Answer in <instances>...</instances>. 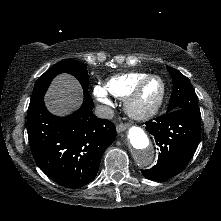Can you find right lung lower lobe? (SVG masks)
Returning a JSON list of instances; mask_svg holds the SVG:
<instances>
[{"instance_id":"98d812e1","label":"right lung lower lobe","mask_w":221,"mask_h":221,"mask_svg":"<svg viewBox=\"0 0 221 221\" xmlns=\"http://www.w3.org/2000/svg\"><path fill=\"white\" fill-rule=\"evenodd\" d=\"M93 101L84 91L82 106L73 114L58 117L43 99L28 111L29 144L38 167L56 183L78 188L97 175L102 155L115 140L113 123L97 118Z\"/></svg>"}]
</instances>
